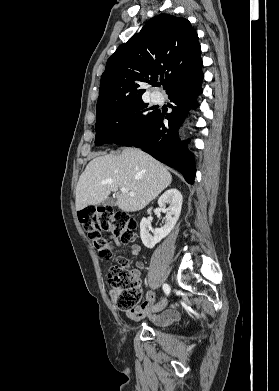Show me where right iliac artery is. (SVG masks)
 Wrapping results in <instances>:
<instances>
[{
	"label": "right iliac artery",
	"instance_id": "82829eb1",
	"mask_svg": "<svg viewBox=\"0 0 279 391\" xmlns=\"http://www.w3.org/2000/svg\"><path fill=\"white\" fill-rule=\"evenodd\" d=\"M163 290L168 295L170 293V287L168 284H163Z\"/></svg>",
	"mask_w": 279,
	"mask_h": 391
}]
</instances>
